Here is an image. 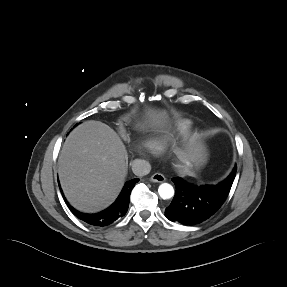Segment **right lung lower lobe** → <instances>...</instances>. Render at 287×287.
Segmentation results:
<instances>
[{
    "instance_id": "right-lung-lower-lobe-1",
    "label": "right lung lower lobe",
    "mask_w": 287,
    "mask_h": 287,
    "mask_svg": "<svg viewBox=\"0 0 287 287\" xmlns=\"http://www.w3.org/2000/svg\"><path fill=\"white\" fill-rule=\"evenodd\" d=\"M138 181L139 179L135 178V179H132L126 182L125 186L123 187V190L121 191L116 201L104 211H101L95 214H86V213L77 211L71 205H69L65 197L64 196L63 197L69 209L71 210V212L78 219L84 221L85 223L89 225L104 227V226L110 225L111 223L115 222L116 220L120 219L126 214L128 207H129L131 191Z\"/></svg>"
}]
</instances>
